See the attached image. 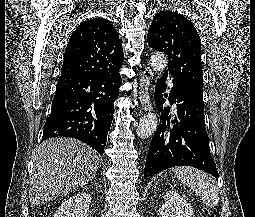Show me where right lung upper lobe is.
<instances>
[{
  "mask_svg": "<svg viewBox=\"0 0 255 217\" xmlns=\"http://www.w3.org/2000/svg\"><path fill=\"white\" fill-rule=\"evenodd\" d=\"M124 61L119 34L104 18L81 23L65 50L61 76L108 75L118 72Z\"/></svg>",
  "mask_w": 255,
  "mask_h": 217,
  "instance_id": "cb5924a9",
  "label": "right lung upper lobe"
}]
</instances>
